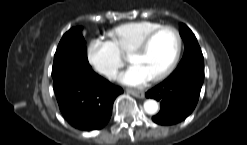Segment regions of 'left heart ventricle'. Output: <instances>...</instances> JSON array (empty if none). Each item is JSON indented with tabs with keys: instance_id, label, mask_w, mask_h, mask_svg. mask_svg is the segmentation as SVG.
Masks as SVG:
<instances>
[{
	"instance_id": "obj_1",
	"label": "left heart ventricle",
	"mask_w": 247,
	"mask_h": 145,
	"mask_svg": "<svg viewBox=\"0 0 247 145\" xmlns=\"http://www.w3.org/2000/svg\"><path fill=\"white\" fill-rule=\"evenodd\" d=\"M175 50L176 37L174 33L164 30L153 38L145 51L132 54L129 59L133 65L141 68L152 78L170 63Z\"/></svg>"
}]
</instances>
